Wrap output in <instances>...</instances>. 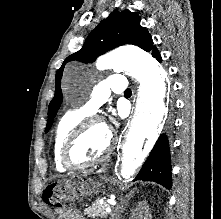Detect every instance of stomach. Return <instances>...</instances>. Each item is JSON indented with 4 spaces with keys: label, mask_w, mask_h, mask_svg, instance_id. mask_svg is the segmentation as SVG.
I'll list each match as a JSON object with an SVG mask.
<instances>
[{
    "label": "stomach",
    "mask_w": 221,
    "mask_h": 219,
    "mask_svg": "<svg viewBox=\"0 0 221 219\" xmlns=\"http://www.w3.org/2000/svg\"><path fill=\"white\" fill-rule=\"evenodd\" d=\"M92 181L86 178H68V183H81L78 190H75V195L81 196V199H77V204H86V199H90V195L99 192L101 184L95 183L94 179Z\"/></svg>",
    "instance_id": "obj_1"
}]
</instances>
